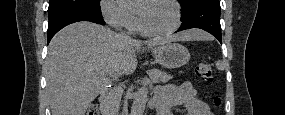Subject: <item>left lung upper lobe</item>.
<instances>
[{
    "label": "left lung upper lobe",
    "instance_id": "left-lung-upper-lobe-1",
    "mask_svg": "<svg viewBox=\"0 0 285 115\" xmlns=\"http://www.w3.org/2000/svg\"><path fill=\"white\" fill-rule=\"evenodd\" d=\"M178 1L182 7L181 11L184 12L191 4H193L198 0H178Z\"/></svg>",
    "mask_w": 285,
    "mask_h": 115
}]
</instances>
